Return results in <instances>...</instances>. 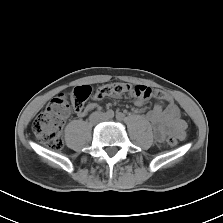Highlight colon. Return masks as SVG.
I'll list each match as a JSON object with an SVG mask.
<instances>
[{"label": "colon", "instance_id": "obj_1", "mask_svg": "<svg viewBox=\"0 0 223 223\" xmlns=\"http://www.w3.org/2000/svg\"><path fill=\"white\" fill-rule=\"evenodd\" d=\"M123 93H132L143 101L158 98L168 102L171 99L170 94L166 91L143 85L132 86L124 82H115L103 85L95 92L90 86L83 85L73 89L70 101L66 95H60L52 100L47 108L33 120L32 131L43 145L51 150H60L63 146L61 131L71 110L82 111L90 98L102 99ZM166 141L168 145L175 146L178 143V138L174 134H169Z\"/></svg>", "mask_w": 223, "mask_h": 223}]
</instances>
